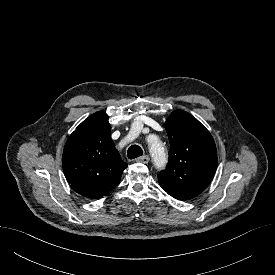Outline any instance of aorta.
Returning a JSON list of instances; mask_svg holds the SVG:
<instances>
[{"instance_id": "aorta-1", "label": "aorta", "mask_w": 275, "mask_h": 275, "mask_svg": "<svg viewBox=\"0 0 275 275\" xmlns=\"http://www.w3.org/2000/svg\"><path fill=\"white\" fill-rule=\"evenodd\" d=\"M149 152L154 164L157 167H162L166 163V154L161 142L158 139L149 142Z\"/></svg>"}]
</instances>
